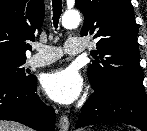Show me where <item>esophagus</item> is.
<instances>
[{
	"instance_id": "obj_1",
	"label": "esophagus",
	"mask_w": 147,
	"mask_h": 131,
	"mask_svg": "<svg viewBox=\"0 0 147 131\" xmlns=\"http://www.w3.org/2000/svg\"><path fill=\"white\" fill-rule=\"evenodd\" d=\"M69 126H70V122H69L67 115L65 114L61 115L60 120H59L60 131H68Z\"/></svg>"
}]
</instances>
